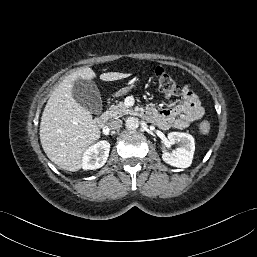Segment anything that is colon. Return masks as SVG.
I'll return each mask as SVG.
<instances>
[{
	"label": "colon",
	"mask_w": 257,
	"mask_h": 257,
	"mask_svg": "<svg viewBox=\"0 0 257 257\" xmlns=\"http://www.w3.org/2000/svg\"><path fill=\"white\" fill-rule=\"evenodd\" d=\"M154 77L157 82L158 90L166 97H175L182 93V87L173 80L164 68H156ZM199 130L202 133H207L210 130V123L208 121H202L199 124Z\"/></svg>",
	"instance_id": "5ec220e1"
}]
</instances>
